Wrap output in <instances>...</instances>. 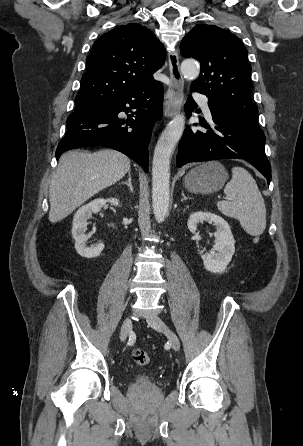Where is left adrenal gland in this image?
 <instances>
[{"mask_svg":"<svg viewBox=\"0 0 303 446\" xmlns=\"http://www.w3.org/2000/svg\"><path fill=\"white\" fill-rule=\"evenodd\" d=\"M181 194H182V200L181 201H184V200H187V199H191L190 197L185 196L184 191H182Z\"/></svg>","mask_w":303,"mask_h":446,"instance_id":"obj_1","label":"left adrenal gland"}]
</instances>
